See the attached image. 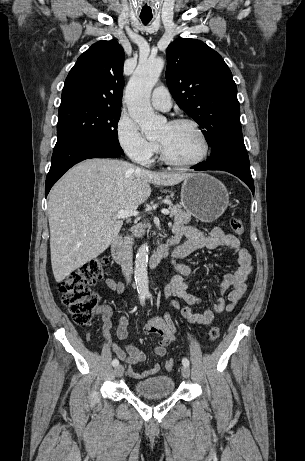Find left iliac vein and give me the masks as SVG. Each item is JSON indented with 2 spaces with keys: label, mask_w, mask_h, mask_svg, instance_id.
I'll list each match as a JSON object with an SVG mask.
<instances>
[{
  "label": "left iliac vein",
  "mask_w": 305,
  "mask_h": 461,
  "mask_svg": "<svg viewBox=\"0 0 305 461\" xmlns=\"http://www.w3.org/2000/svg\"><path fill=\"white\" fill-rule=\"evenodd\" d=\"M181 372L184 378H188L190 376V369L188 366H182Z\"/></svg>",
  "instance_id": "4c4485c4"
}]
</instances>
